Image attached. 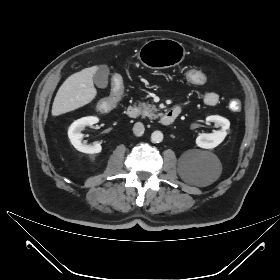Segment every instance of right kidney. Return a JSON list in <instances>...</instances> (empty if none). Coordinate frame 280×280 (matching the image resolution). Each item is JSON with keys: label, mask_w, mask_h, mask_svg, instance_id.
<instances>
[{"label": "right kidney", "mask_w": 280, "mask_h": 280, "mask_svg": "<svg viewBox=\"0 0 280 280\" xmlns=\"http://www.w3.org/2000/svg\"><path fill=\"white\" fill-rule=\"evenodd\" d=\"M99 119L95 116H87L74 121L68 130V137L72 145L80 152L87 154L100 153L102 150L101 145L98 142L88 144L87 141H82L83 134L81 131L86 126H92L97 123Z\"/></svg>", "instance_id": "ca27d5eb"}]
</instances>
